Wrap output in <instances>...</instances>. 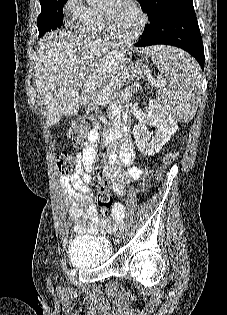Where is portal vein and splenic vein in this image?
<instances>
[{"instance_id": "obj_1", "label": "portal vein and splenic vein", "mask_w": 227, "mask_h": 315, "mask_svg": "<svg viewBox=\"0 0 227 315\" xmlns=\"http://www.w3.org/2000/svg\"><path fill=\"white\" fill-rule=\"evenodd\" d=\"M148 72H149V71H148ZM124 73H127V72H124ZM122 77H123V75H121V74L119 73L117 76H115V77L112 79L111 85L113 86L114 84H116V83L119 81V79H121ZM148 80L150 81V83H151L152 85H156L157 83H159L158 80H157V81H156V80L153 81V78L151 77L150 73H148ZM87 83H88L89 85H90V84H94L93 80H91V79H88V80H87ZM111 92H112V90L109 88L108 90L103 91L102 96H103V97L109 96V95L111 94Z\"/></svg>"}]
</instances>
